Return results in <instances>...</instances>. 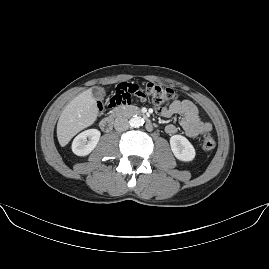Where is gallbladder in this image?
Here are the masks:
<instances>
[{"instance_id": "obj_1", "label": "gallbladder", "mask_w": 269, "mask_h": 269, "mask_svg": "<svg viewBox=\"0 0 269 269\" xmlns=\"http://www.w3.org/2000/svg\"><path fill=\"white\" fill-rule=\"evenodd\" d=\"M93 92L96 98H103L105 96V90L101 87H94Z\"/></svg>"}]
</instances>
